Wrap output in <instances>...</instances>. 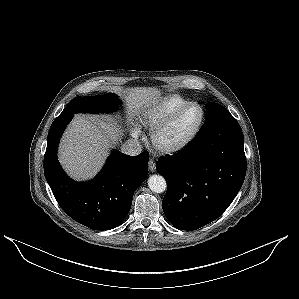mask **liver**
<instances>
[{"label": "liver", "mask_w": 299, "mask_h": 299, "mask_svg": "<svg viewBox=\"0 0 299 299\" xmlns=\"http://www.w3.org/2000/svg\"><path fill=\"white\" fill-rule=\"evenodd\" d=\"M160 92L152 87L126 90L128 113L135 114L145 105L154 103ZM122 131L109 119L76 116L66 130L59 148V161L76 180L93 177L103 165L109 149Z\"/></svg>", "instance_id": "1"}]
</instances>
